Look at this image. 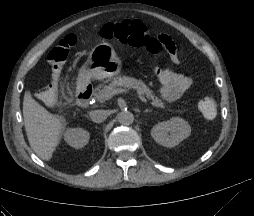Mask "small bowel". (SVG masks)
Returning a JSON list of instances; mask_svg holds the SVG:
<instances>
[{
    "label": "small bowel",
    "instance_id": "1",
    "mask_svg": "<svg viewBox=\"0 0 254 216\" xmlns=\"http://www.w3.org/2000/svg\"><path fill=\"white\" fill-rule=\"evenodd\" d=\"M162 44L169 52V61L172 64H178L180 56L176 51V46L173 40L168 37L162 38ZM159 81V93L167 101H174L178 99L185 91H187L191 84V78L181 72H174L171 70H157Z\"/></svg>",
    "mask_w": 254,
    "mask_h": 216
}]
</instances>
